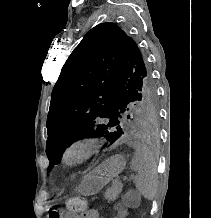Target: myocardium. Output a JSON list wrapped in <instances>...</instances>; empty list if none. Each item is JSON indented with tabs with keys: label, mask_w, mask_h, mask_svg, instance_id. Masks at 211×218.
I'll return each instance as SVG.
<instances>
[{
	"label": "myocardium",
	"mask_w": 211,
	"mask_h": 218,
	"mask_svg": "<svg viewBox=\"0 0 211 218\" xmlns=\"http://www.w3.org/2000/svg\"><path fill=\"white\" fill-rule=\"evenodd\" d=\"M97 138L91 134L83 135L68 145L63 154L67 164H73L88 158L96 149Z\"/></svg>",
	"instance_id": "f54148a6"
}]
</instances>
